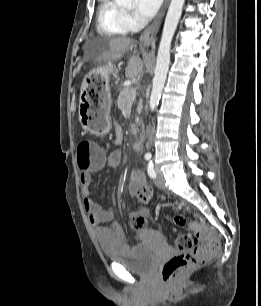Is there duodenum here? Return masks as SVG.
<instances>
[{
  "mask_svg": "<svg viewBox=\"0 0 261 306\" xmlns=\"http://www.w3.org/2000/svg\"><path fill=\"white\" fill-rule=\"evenodd\" d=\"M139 127L142 128L143 127V124L142 123H139ZM142 147H143V143H142V138L139 137L138 139H136L134 142H133V148L134 150L136 151H141L142 150Z\"/></svg>",
  "mask_w": 261,
  "mask_h": 306,
  "instance_id": "duodenum-1",
  "label": "duodenum"
}]
</instances>
